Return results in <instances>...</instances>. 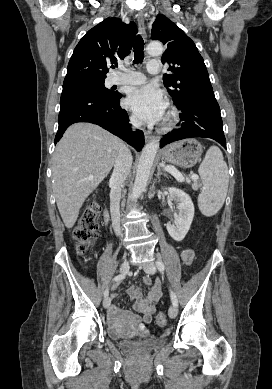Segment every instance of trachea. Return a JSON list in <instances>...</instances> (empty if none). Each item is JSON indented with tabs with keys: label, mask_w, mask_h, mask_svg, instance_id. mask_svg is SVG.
I'll return each instance as SVG.
<instances>
[{
	"label": "trachea",
	"mask_w": 272,
	"mask_h": 389,
	"mask_svg": "<svg viewBox=\"0 0 272 389\" xmlns=\"http://www.w3.org/2000/svg\"><path fill=\"white\" fill-rule=\"evenodd\" d=\"M144 41L140 35H138L135 39L134 44V64L140 63L144 59Z\"/></svg>",
	"instance_id": "obj_1"
}]
</instances>
